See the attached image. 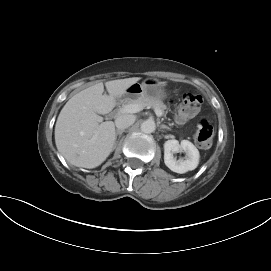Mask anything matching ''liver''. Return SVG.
<instances>
[{"label": "liver", "mask_w": 271, "mask_h": 271, "mask_svg": "<svg viewBox=\"0 0 271 271\" xmlns=\"http://www.w3.org/2000/svg\"><path fill=\"white\" fill-rule=\"evenodd\" d=\"M141 78L107 81L109 95L103 94L102 82L71 97L62 108L55 125V143L59 153L72 165L95 168L113 150L116 136L112 121L103 122L99 115L108 114L126 90Z\"/></svg>", "instance_id": "6515ba94"}]
</instances>
